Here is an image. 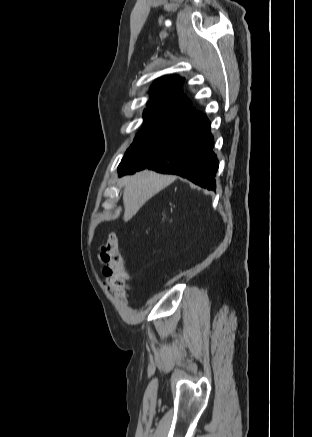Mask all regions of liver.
<instances>
[{"label":"liver","mask_w":312,"mask_h":437,"mask_svg":"<svg viewBox=\"0 0 312 437\" xmlns=\"http://www.w3.org/2000/svg\"><path fill=\"white\" fill-rule=\"evenodd\" d=\"M175 180V176L162 175L149 170L123 177L124 221L130 220L152 196Z\"/></svg>","instance_id":"obj_1"}]
</instances>
